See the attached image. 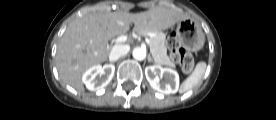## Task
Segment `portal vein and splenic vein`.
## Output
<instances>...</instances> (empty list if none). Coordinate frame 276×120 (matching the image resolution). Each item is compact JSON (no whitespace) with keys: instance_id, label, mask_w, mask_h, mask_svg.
I'll list each match as a JSON object with an SVG mask.
<instances>
[{"instance_id":"portal-vein-and-splenic-vein-1","label":"portal vein and splenic vein","mask_w":276,"mask_h":120,"mask_svg":"<svg viewBox=\"0 0 276 120\" xmlns=\"http://www.w3.org/2000/svg\"><path fill=\"white\" fill-rule=\"evenodd\" d=\"M126 40H127V37L124 36V35H121V36H119V37L115 40V42H116V43H121V42H125ZM146 42H147L148 44H150L149 39H146Z\"/></svg>"}]
</instances>
